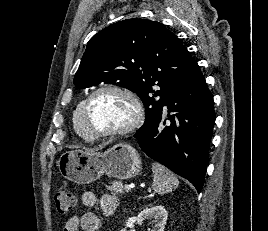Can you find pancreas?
<instances>
[{
    "label": "pancreas",
    "mask_w": 268,
    "mask_h": 231,
    "mask_svg": "<svg viewBox=\"0 0 268 231\" xmlns=\"http://www.w3.org/2000/svg\"><path fill=\"white\" fill-rule=\"evenodd\" d=\"M106 188L111 192L112 195H119L124 193V186L121 182H111L109 185H106Z\"/></svg>",
    "instance_id": "pancreas-1"
}]
</instances>
